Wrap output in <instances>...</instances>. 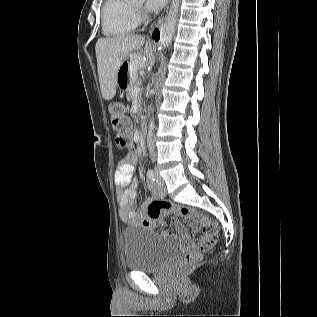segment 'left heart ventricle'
Here are the masks:
<instances>
[{
	"instance_id": "b2bd125f",
	"label": "left heart ventricle",
	"mask_w": 317,
	"mask_h": 317,
	"mask_svg": "<svg viewBox=\"0 0 317 317\" xmlns=\"http://www.w3.org/2000/svg\"><path fill=\"white\" fill-rule=\"evenodd\" d=\"M136 5H137V6H139V5H140V3H137Z\"/></svg>"
}]
</instances>
